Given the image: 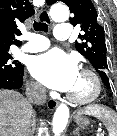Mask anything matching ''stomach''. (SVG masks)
<instances>
[{"label":"stomach","mask_w":117,"mask_h":136,"mask_svg":"<svg viewBox=\"0 0 117 136\" xmlns=\"http://www.w3.org/2000/svg\"><path fill=\"white\" fill-rule=\"evenodd\" d=\"M75 121H76V123H77L78 125H87V124H89V121H88L87 119L83 118V117L80 116V115H77V116L75 117Z\"/></svg>","instance_id":"0dacf381"}]
</instances>
